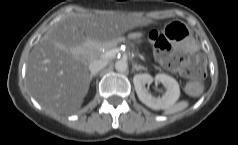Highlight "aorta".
<instances>
[{
    "label": "aorta",
    "mask_w": 238,
    "mask_h": 145,
    "mask_svg": "<svg viewBox=\"0 0 238 145\" xmlns=\"http://www.w3.org/2000/svg\"><path fill=\"white\" fill-rule=\"evenodd\" d=\"M115 69L118 71V72H125L127 69H128V63L126 60H118L116 61L115 63Z\"/></svg>",
    "instance_id": "1"
}]
</instances>
